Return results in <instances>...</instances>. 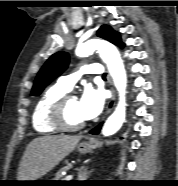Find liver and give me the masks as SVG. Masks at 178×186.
<instances>
[{
    "label": "liver",
    "mask_w": 178,
    "mask_h": 186,
    "mask_svg": "<svg viewBox=\"0 0 178 186\" xmlns=\"http://www.w3.org/2000/svg\"><path fill=\"white\" fill-rule=\"evenodd\" d=\"M81 136L45 135L33 139L26 147L18 169L19 181H33L50 172L69 155Z\"/></svg>",
    "instance_id": "1"
}]
</instances>
